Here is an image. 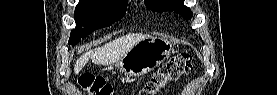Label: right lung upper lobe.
<instances>
[{
    "label": "right lung upper lobe",
    "instance_id": "cb5924a9",
    "mask_svg": "<svg viewBox=\"0 0 277 95\" xmlns=\"http://www.w3.org/2000/svg\"><path fill=\"white\" fill-rule=\"evenodd\" d=\"M118 1H123V2H127V0H118Z\"/></svg>",
    "mask_w": 277,
    "mask_h": 95
}]
</instances>
